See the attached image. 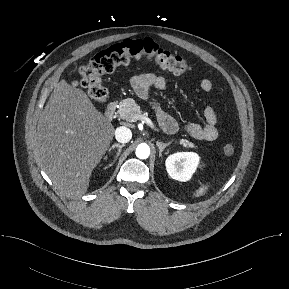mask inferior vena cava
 <instances>
[{"label": "inferior vena cava", "instance_id": "602c4592", "mask_svg": "<svg viewBox=\"0 0 289 289\" xmlns=\"http://www.w3.org/2000/svg\"><path fill=\"white\" fill-rule=\"evenodd\" d=\"M115 138L120 143H127L132 138V132L125 126L118 127L115 130Z\"/></svg>", "mask_w": 289, "mask_h": 289}]
</instances>
